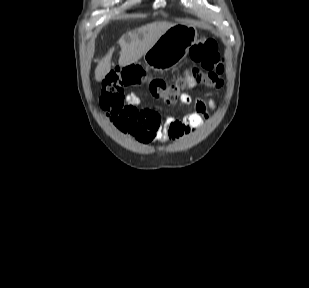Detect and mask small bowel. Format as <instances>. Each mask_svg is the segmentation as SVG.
Wrapping results in <instances>:
<instances>
[{
  "label": "small bowel",
  "mask_w": 309,
  "mask_h": 288,
  "mask_svg": "<svg viewBox=\"0 0 309 288\" xmlns=\"http://www.w3.org/2000/svg\"><path fill=\"white\" fill-rule=\"evenodd\" d=\"M126 102L130 113L127 117L116 119L115 127L144 145L188 136L206 123L208 108H215L213 100H193L190 95L182 94L180 102L191 110L182 118H173L164 117L158 107L143 108V101L136 93L128 94Z\"/></svg>",
  "instance_id": "small-bowel-1"
}]
</instances>
